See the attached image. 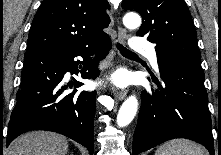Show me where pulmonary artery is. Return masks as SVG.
<instances>
[{"mask_svg": "<svg viewBox=\"0 0 221 155\" xmlns=\"http://www.w3.org/2000/svg\"><path fill=\"white\" fill-rule=\"evenodd\" d=\"M131 46L134 51L146 55L151 65L158 69L157 55L154 47L149 42L142 38H134Z\"/></svg>", "mask_w": 221, "mask_h": 155, "instance_id": "obj_1", "label": "pulmonary artery"}]
</instances>
